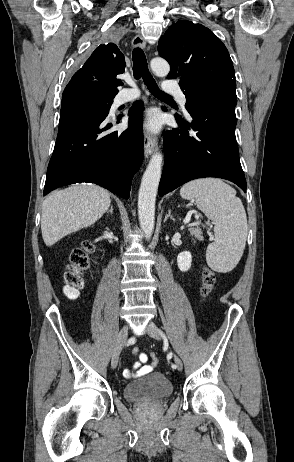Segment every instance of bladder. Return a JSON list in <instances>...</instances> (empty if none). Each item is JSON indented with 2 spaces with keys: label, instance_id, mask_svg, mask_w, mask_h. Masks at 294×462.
<instances>
[{
  "label": "bladder",
  "instance_id": "obj_1",
  "mask_svg": "<svg viewBox=\"0 0 294 462\" xmlns=\"http://www.w3.org/2000/svg\"><path fill=\"white\" fill-rule=\"evenodd\" d=\"M173 393L170 380L161 373H151L126 384L124 397L132 402L156 401L169 397Z\"/></svg>",
  "mask_w": 294,
  "mask_h": 462
}]
</instances>
